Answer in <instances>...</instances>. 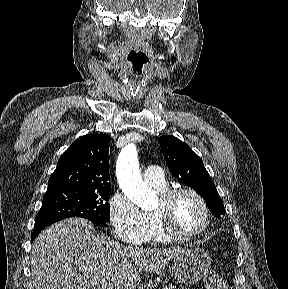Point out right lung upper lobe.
I'll list each match as a JSON object with an SVG mask.
<instances>
[{"mask_svg":"<svg viewBox=\"0 0 288 289\" xmlns=\"http://www.w3.org/2000/svg\"><path fill=\"white\" fill-rule=\"evenodd\" d=\"M109 141L110 137L106 134H89L74 141L58 160L47 190L111 187Z\"/></svg>","mask_w":288,"mask_h":289,"instance_id":"obj_1","label":"right lung upper lobe"}]
</instances>
